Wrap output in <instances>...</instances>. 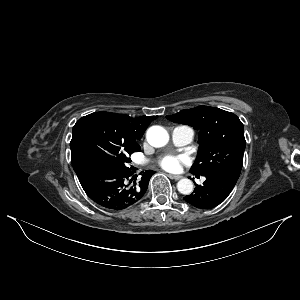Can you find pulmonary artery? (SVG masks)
Instances as JSON below:
<instances>
[{
  "label": "pulmonary artery",
  "mask_w": 300,
  "mask_h": 300,
  "mask_svg": "<svg viewBox=\"0 0 300 300\" xmlns=\"http://www.w3.org/2000/svg\"><path fill=\"white\" fill-rule=\"evenodd\" d=\"M193 138L194 132L189 126H176L171 131V139L173 143L178 146H183L191 143Z\"/></svg>",
  "instance_id": "obj_1"
}]
</instances>
